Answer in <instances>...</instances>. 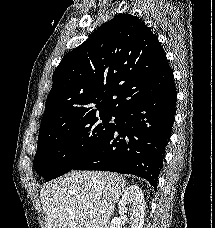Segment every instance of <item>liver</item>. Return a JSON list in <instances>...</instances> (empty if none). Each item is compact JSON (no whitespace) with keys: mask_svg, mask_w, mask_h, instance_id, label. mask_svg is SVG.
Wrapping results in <instances>:
<instances>
[{"mask_svg":"<svg viewBox=\"0 0 215 228\" xmlns=\"http://www.w3.org/2000/svg\"><path fill=\"white\" fill-rule=\"evenodd\" d=\"M127 182L113 172H69L43 186L46 228H109Z\"/></svg>","mask_w":215,"mask_h":228,"instance_id":"liver-1","label":"liver"}]
</instances>
